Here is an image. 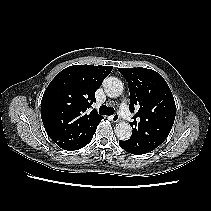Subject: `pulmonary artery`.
Wrapping results in <instances>:
<instances>
[{
    "mask_svg": "<svg viewBox=\"0 0 211 211\" xmlns=\"http://www.w3.org/2000/svg\"><path fill=\"white\" fill-rule=\"evenodd\" d=\"M120 115L127 121H130L132 119V115L129 112L128 106L126 104H121L119 108Z\"/></svg>",
    "mask_w": 211,
    "mask_h": 211,
    "instance_id": "pulmonary-artery-1",
    "label": "pulmonary artery"
}]
</instances>
